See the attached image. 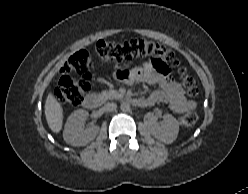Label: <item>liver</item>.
Masks as SVG:
<instances>
[{"label":"liver","instance_id":"obj_1","mask_svg":"<svg viewBox=\"0 0 248 194\" xmlns=\"http://www.w3.org/2000/svg\"><path fill=\"white\" fill-rule=\"evenodd\" d=\"M45 117L52 132L59 133L63 126V108L52 92L45 102Z\"/></svg>","mask_w":248,"mask_h":194}]
</instances>
